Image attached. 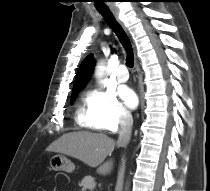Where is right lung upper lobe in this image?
<instances>
[{
    "label": "right lung upper lobe",
    "mask_w": 210,
    "mask_h": 191,
    "mask_svg": "<svg viewBox=\"0 0 210 191\" xmlns=\"http://www.w3.org/2000/svg\"><path fill=\"white\" fill-rule=\"evenodd\" d=\"M94 64L95 60L93 58V55H89L84 59L76 75L72 97H74L77 94L78 90H80V88H82L86 84L90 77V74L93 71Z\"/></svg>",
    "instance_id": "obj_1"
}]
</instances>
